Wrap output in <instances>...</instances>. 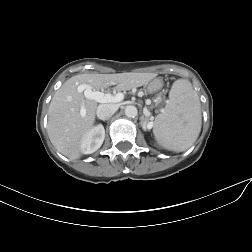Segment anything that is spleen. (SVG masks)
<instances>
[{"label":"spleen","mask_w":252,"mask_h":252,"mask_svg":"<svg viewBox=\"0 0 252 252\" xmlns=\"http://www.w3.org/2000/svg\"><path fill=\"white\" fill-rule=\"evenodd\" d=\"M202 126L198 94L187 79L176 80L164 111L156 117L153 133L168 150L182 152L197 140Z\"/></svg>","instance_id":"spleen-1"}]
</instances>
